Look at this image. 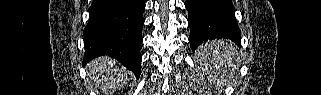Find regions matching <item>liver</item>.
Segmentation results:
<instances>
[{
  "label": "liver",
  "mask_w": 321,
  "mask_h": 95,
  "mask_svg": "<svg viewBox=\"0 0 321 95\" xmlns=\"http://www.w3.org/2000/svg\"><path fill=\"white\" fill-rule=\"evenodd\" d=\"M89 75L105 95L114 93L129 80L130 72L117 61L101 57L92 61L88 68Z\"/></svg>",
  "instance_id": "6515ba94"
}]
</instances>
